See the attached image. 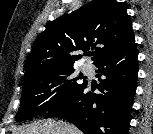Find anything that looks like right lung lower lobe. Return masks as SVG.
Returning <instances> with one entry per match:
<instances>
[{
    "instance_id": "98d812e1",
    "label": "right lung lower lobe",
    "mask_w": 153,
    "mask_h": 134,
    "mask_svg": "<svg viewBox=\"0 0 153 134\" xmlns=\"http://www.w3.org/2000/svg\"><path fill=\"white\" fill-rule=\"evenodd\" d=\"M99 93L86 92V85L68 101L49 110L45 118L72 121L84 134H128L138 74L135 42L113 52L96 65Z\"/></svg>"
}]
</instances>
